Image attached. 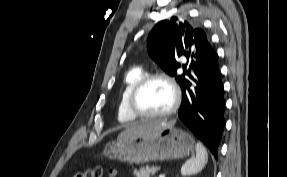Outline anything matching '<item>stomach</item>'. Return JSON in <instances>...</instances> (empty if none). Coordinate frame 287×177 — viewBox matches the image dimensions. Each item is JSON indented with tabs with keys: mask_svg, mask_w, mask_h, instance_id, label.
I'll use <instances>...</instances> for the list:
<instances>
[{
	"mask_svg": "<svg viewBox=\"0 0 287 177\" xmlns=\"http://www.w3.org/2000/svg\"><path fill=\"white\" fill-rule=\"evenodd\" d=\"M192 136L174 126H167L155 132L109 142L104 155L112 160L129 163L168 161L181 159L194 152Z\"/></svg>",
	"mask_w": 287,
	"mask_h": 177,
	"instance_id": "stomach-1",
	"label": "stomach"
}]
</instances>
